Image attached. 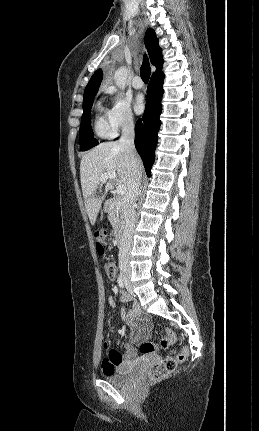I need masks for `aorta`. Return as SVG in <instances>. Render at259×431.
<instances>
[{"label": "aorta", "mask_w": 259, "mask_h": 431, "mask_svg": "<svg viewBox=\"0 0 259 431\" xmlns=\"http://www.w3.org/2000/svg\"><path fill=\"white\" fill-rule=\"evenodd\" d=\"M127 76H128V69L125 66H122L115 71L114 80H115L116 85L120 89L125 88Z\"/></svg>", "instance_id": "aorta-1"}]
</instances>
